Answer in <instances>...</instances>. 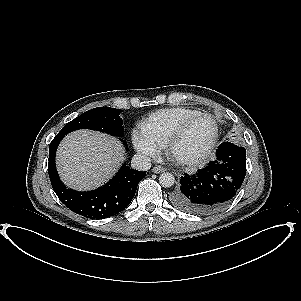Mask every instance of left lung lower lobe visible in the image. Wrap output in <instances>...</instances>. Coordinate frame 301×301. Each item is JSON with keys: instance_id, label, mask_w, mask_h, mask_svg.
Returning a JSON list of instances; mask_svg holds the SVG:
<instances>
[{"instance_id": "left-lung-lower-lobe-1", "label": "left lung lower lobe", "mask_w": 301, "mask_h": 301, "mask_svg": "<svg viewBox=\"0 0 301 301\" xmlns=\"http://www.w3.org/2000/svg\"><path fill=\"white\" fill-rule=\"evenodd\" d=\"M216 160L194 175L183 176L172 203L186 212L205 215L230 203L246 174V150L230 142L219 145Z\"/></svg>"}]
</instances>
